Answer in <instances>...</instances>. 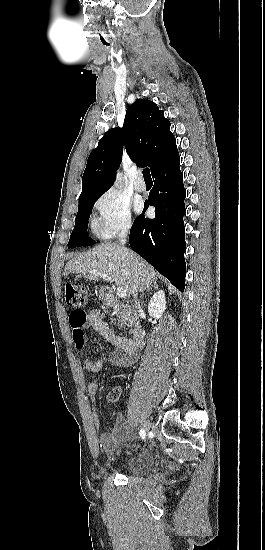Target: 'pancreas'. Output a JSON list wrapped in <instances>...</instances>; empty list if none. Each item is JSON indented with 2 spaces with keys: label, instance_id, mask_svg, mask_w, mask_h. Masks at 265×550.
<instances>
[{
  "label": "pancreas",
  "instance_id": "cf45deb5",
  "mask_svg": "<svg viewBox=\"0 0 265 550\" xmlns=\"http://www.w3.org/2000/svg\"><path fill=\"white\" fill-rule=\"evenodd\" d=\"M114 314L118 317L121 326L133 325L136 320V312L129 305L119 304L114 308Z\"/></svg>",
  "mask_w": 265,
  "mask_h": 550
}]
</instances>
